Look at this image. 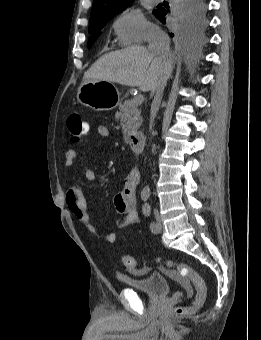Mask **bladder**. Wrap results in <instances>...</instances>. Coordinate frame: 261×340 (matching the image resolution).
Wrapping results in <instances>:
<instances>
[{"label":"bladder","instance_id":"bladder-1","mask_svg":"<svg viewBox=\"0 0 261 340\" xmlns=\"http://www.w3.org/2000/svg\"><path fill=\"white\" fill-rule=\"evenodd\" d=\"M117 278L127 287L151 297H166L170 292L169 280L160 274H150L140 278L118 275Z\"/></svg>","mask_w":261,"mask_h":340}]
</instances>
